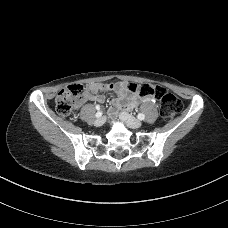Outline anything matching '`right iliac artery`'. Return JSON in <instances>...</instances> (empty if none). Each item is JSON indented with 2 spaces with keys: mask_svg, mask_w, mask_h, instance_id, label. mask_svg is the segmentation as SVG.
Masks as SVG:
<instances>
[{
  "mask_svg": "<svg viewBox=\"0 0 228 228\" xmlns=\"http://www.w3.org/2000/svg\"><path fill=\"white\" fill-rule=\"evenodd\" d=\"M101 116H102V111L99 110V111L96 113V117H97V118H100Z\"/></svg>",
  "mask_w": 228,
  "mask_h": 228,
  "instance_id": "obj_1",
  "label": "right iliac artery"
}]
</instances>
